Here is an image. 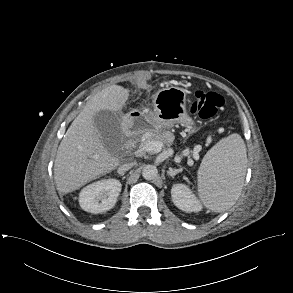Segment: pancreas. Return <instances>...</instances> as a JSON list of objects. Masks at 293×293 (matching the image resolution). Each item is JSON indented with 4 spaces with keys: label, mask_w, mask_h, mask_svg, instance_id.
Here are the masks:
<instances>
[{
    "label": "pancreas",
    "mask_w": 293,
    "mask_h": 293,
    "mask_svg": "<svg viewBox=\"0 0 293 293\" xmlns=\"http://www.w3.org/2000/svg\"><path fill=\"white\" fill-rule=\"evenodd\" d=\"M144 136L145 142L148 140L160 141L167 146H170L173 141V134L169 131H147Z\"/></svg>",
    "instance_id": "cf45deb5"
}]
</instances>
